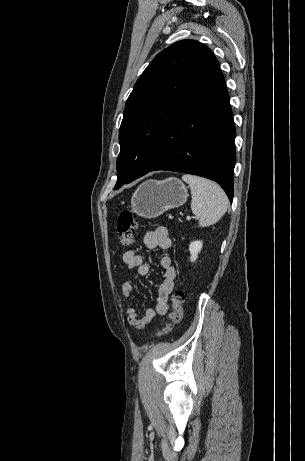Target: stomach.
I'll return each mask as SVG.
<instances>
[{
	"label": "stomach",
	"mask_w": 305,
	"mask_h": 461,
	"mask_svg": "<svg viewBox=\"0 0 305 461\" xmlns=\"http://www.w3.org/2000/svg\"><path fill=\"white\" fill-rule=\"evenodd\" d=\"M187 197V187L177 178L147 180L133 193L131 207L137 215L151 219L183 205Z\"/></svg>",
	"instance_id": "0dacf381"
}]
</instances>
